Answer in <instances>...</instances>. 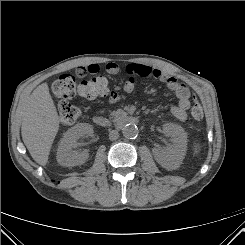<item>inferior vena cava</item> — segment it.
Wrapping results in <instances>:
<instances>
[{
  "instance_id": "inferior-vena-cava-1",
  "label": "inferior vena cava",
  "mask_w": 245,
  "mask_h": 245,
  "mask_svg": "<svg viewBox=\"0 0 245 245\" xmlns=\"http://www.w3.org/2000/svg\"><path fill=\"white\" fill-rule=\"evenodd\" d=\"M119 137V132L117 130H111L109 132V139L110 140H116Z\"/></svg>"
}]
</instances>
